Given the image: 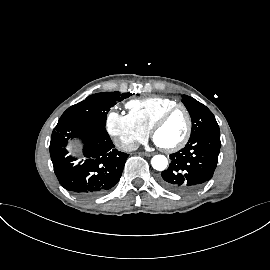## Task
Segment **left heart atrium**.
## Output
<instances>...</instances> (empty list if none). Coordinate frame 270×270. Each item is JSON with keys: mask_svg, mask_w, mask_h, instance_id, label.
Listing matches in <instances>:
<instances>
[{"mask_svg": "<svg viewBox=\"0 0 270 270\" xmlns=\"http://www.w3.org/2000/svg\"><path fill=\"white\" fill-rule=\"evenodd\" d=\"M155 144L159 146V144L155 141Z\"/></svg>", "mask_w": 270, "mask_h": 270, "instance_id": "obj_1", "label": "left heart atrium"}]
</instances>
